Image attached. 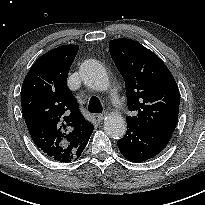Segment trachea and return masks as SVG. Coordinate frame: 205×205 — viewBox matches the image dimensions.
Here are the masks:
<instances>
[{"label":"trachea","mask_w":205,"mask_h":205,"mask_svg":"<svg viewBox=\"0 0 205 205\" xmlns=\"http://www.w3.org/2000/svg\"><path fill=\"white\" fill-rule=\"evenodd\" d=\"M88 110L93 113L102 112L103 108H102L100 100L97 97H92L89 100Z\"/></svg>","instance_id":"3493384b"}]
</instances>
